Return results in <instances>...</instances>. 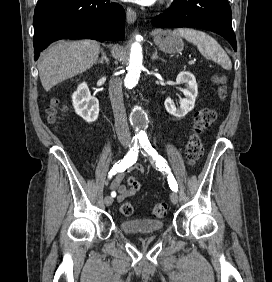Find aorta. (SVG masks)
<instances>
[{
  "label": "aorta",
  "instance_id": "aorta-1",
  "mask_svg": "<svg viewBox=\"0 0 272 282\" xmlns=\"http://www.w3.org/2000/svg\"><path fill=\"white\" fill-rule=\"evenodd\" d=\"M140 36H136V41L131 45L130 59L128 71L124 80L125 86L128 89H133L140 77V71L142 69V46L140 44ZM132 123L136 127L135 138L138 140L145 139L147 133L144 128V113L140 108H134L132 112Z\"/></svg>",
  "mask_w": 272,
  "mask_h": 282
}]
</instances>
